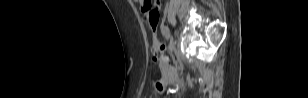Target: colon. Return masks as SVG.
<instances>
[{"label": "colon", "mask_w": 308, "mask_h": 98, "mask_svg": "<svg viewBox=\"0 0 308 98\" xmlns=\"http://www.w3.org/2000/svg\"><path fill=\"white\" fill-rule=\"evenodd\" d=\"M146 4L143 8L144 15L141 16V21L145 22L148 31L155 32L158 29L157 22L159 20L160 1L145 0ZM164 46L154 38L153 40V52L155 59L161 60L163 56ZM166 60L167 58L164 57Z\"/></svg>", "instance_id": "5ec220e1"}]
</instances>
